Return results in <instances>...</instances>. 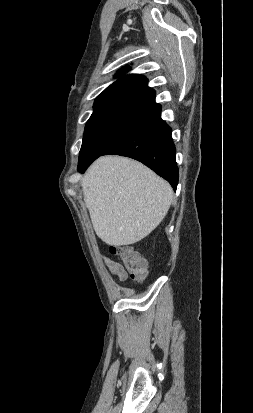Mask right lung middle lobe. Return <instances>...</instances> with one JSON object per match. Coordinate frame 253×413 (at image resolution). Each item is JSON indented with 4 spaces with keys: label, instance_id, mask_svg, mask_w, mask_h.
<instances>
[{
    "label": "right lung middle lobe",
    "instance_id": "1",
    "mask_svg": "<svg viewBox=\"0 0 253 413\" xmlns=\"http://www.w3.org/2000/svg\"><path fill=\"white\" fill-rule=\"evenodd\" d=\"M149 118L130 114H105L87 121L78 165L91 162L140 128Z\"/></svg>",
    "mask_w": 253,
    "mask_h": 413
}]
</instances>
